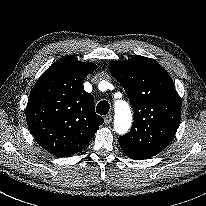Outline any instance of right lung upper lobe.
<instances>
[{"label": "right lung upper lobe", "mask_w": 206, "mask_h": 206, "mask_svg": "<svg viewBox=\"0 0 206 206\" xmlns=\"http://www.w3.org/2000/svg\"><path fill=\"white\" fill-rule=\"evenodd\" d=\"M95 69L94 63L64 57L42 74L29 95L28 127L36 141L56 156L80 152L104 122L95 113L93 96L83 87Z\"/></svg>", "instance_id": "1"}]
</instances>
